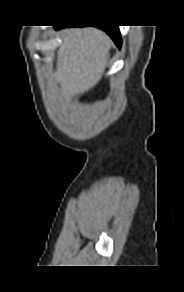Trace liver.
Listing matches in <instances>:
<instances>
[{
    "label": "liver",
    "instance_id": "obj_1",
    "mask_svg": "<svg viewBox=\"0 0 184 292\" xmlns=\"http://www.w3.org/2000/svg\"><path fill=\"white\" fill-rule=\"evenodd\" d=\"M57 51L56 78L67 101L93 88L104 73L111 40L93 27L64 29Z\"/></svg>",
    "mask_w": 184,
    "mask_h": 292
}]
</instances>
